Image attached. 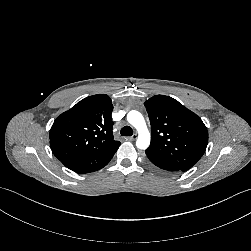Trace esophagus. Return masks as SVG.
I'll use <instances>...</instances> for the list:
<instances>
[{
    "mask_svg": "<svg viewBox=\"0 0 251 251\" xmlns=\"http://www.w3.org/2000/svg\"><path fill=\"white\" fill-rule=\"evenodd\" d=\"M130 141H134L137 139V134H133L131 137L127 138Z\"/></svg>",
    "mask_w": 251,
    "mask_h": 251,
    "instance_id": "obj_1",
    "label": "esophagus"
}]
</instances>
